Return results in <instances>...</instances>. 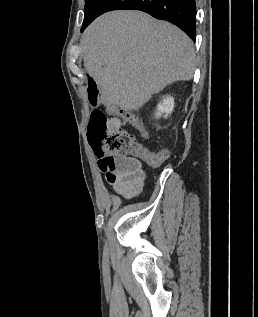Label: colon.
<instances>
[{"label":"colon","mask_w":258,"mask_h":317,"mask_svg":"<svg viewBox=\"0 0 258 317\" xmlns=\"http://www.w3.org/2000/svg\"><path fill=\"white\" fill-rule=\"evenodd\" d=\"M87 95L93 107L102 101L100 91L92 79L88 80ZM110 121L111 116L104 110H92L87 127V139L94 152L139 158L150 166H158L165 160L164 154L143 147L132 134L112 127Z\"/></svg>","instance_id":"colon-1"}]
</instances>
